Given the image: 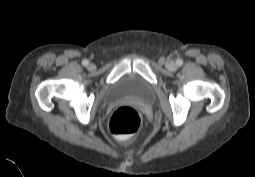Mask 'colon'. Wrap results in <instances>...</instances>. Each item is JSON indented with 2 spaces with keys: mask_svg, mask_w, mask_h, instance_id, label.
<instances>
[{
  "mask_svg": "<svg viewBox=\"0 0 255 177\" xmlns=\"http://www.w3.org/2000/svg\"><path fill=\"white\" fill-rule=\"evenodd\" d=\"M142 125L140 114L132 107L118 108L109 120L110 132L118 138L125 139L136 134Z\"/></svg>",
  "mask_w": 255,
  "mask_h": 177,
  "instance_id": "obj_1",
  "label": "colon"
}]
</instances>
